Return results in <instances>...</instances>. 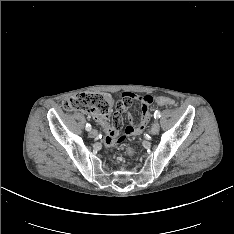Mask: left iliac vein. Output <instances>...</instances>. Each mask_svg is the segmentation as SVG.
<instances>
[{"instance_id": "obj_1", "label": "left iliac vein", "mask_w": 234, "mask_h": 234, "mask_svg": "<svg viewBox=\"0 0 234 234\" xmlns=\"http://www.w3.org/2000/svg\"><path fill=\"white\" fill-rule=\"evenodd\" d=\"M160 130V125L158 123V121H155L153 124H152V127H151V134L152 135H156Z\"/></svg>"}]
</instances>
